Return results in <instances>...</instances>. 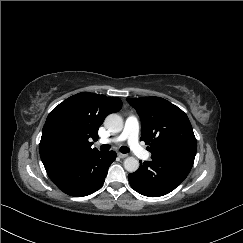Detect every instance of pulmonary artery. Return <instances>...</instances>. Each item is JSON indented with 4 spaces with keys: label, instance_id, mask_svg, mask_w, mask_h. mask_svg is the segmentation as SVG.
Segmentation results:
<instances>
[{
    "label": "pulmonary artery",
    "instance_id": "pulmonary-artery-1",
    "mask_svg": "<svg viewBox=\"0 0 243 243\" xmlns=\"http://www.w3.org/2000/svg\"><path fill=\"white\" fill-rule=\"evenodd\" d=\"M139 130L140 124L136 116H129L124 125L123 131L116 137L100 139L99 142L102 144H119L121 142L127 141L132 152L142 160H149L150 153L143 149L139 142Z\"/></svg>",
    "mask_w": 243,
    "mask_h": 243
}]
</instances>
